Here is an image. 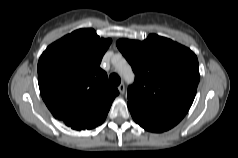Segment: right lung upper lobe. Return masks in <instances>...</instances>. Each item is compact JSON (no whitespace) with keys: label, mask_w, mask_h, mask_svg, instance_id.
I'll return each instance as SVG.
<instances>
[{"label":"right lung upper lobe","mask_w":238,"mask_h":158,"mask_svg":"<svg viewBox=\"0 0 238 158\" xmlns=\"http://www.w3.org/2000/svg\"><path fill=\"white\" fill-rule=\"evenodd\" d=\"M111 39L79 29L54 42L38 61L41 96L53 116L75 119L108 112L118 90L100 68Z\"/></svg>","instance_id":"right-lung-upper-lobe-1"}]
</instances>
